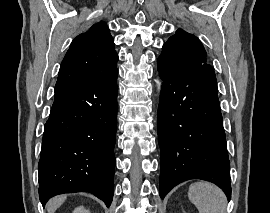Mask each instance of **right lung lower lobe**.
Masks as SVG:
<instances>
[{
	"label": "right lung lower lobe",
	"instance_id": "98d812e1",
	"mask_svg": "<svg viewBox=\"0 0 270 213\" xmlns=\"http://www.w3.org/2000/svg\"><path fill=\"white\" fill-rule=\"evenodd\" d=\"M117 77L55 93L44 126L39 197L87 191L110 206L114 193Z\"/></svg>",
	"mask_w": 270,
	"mask_h": 213
}]
</instances>
